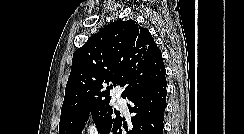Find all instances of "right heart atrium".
<instances>
[{
    "mask_svg": "<svg viewBox=\"0 0 244 134\" xmlns=\"http://www.w3.org/2000/svg\"><path fill=\"white\" fill-rule=\"evenodd\" d=\"M100 132L99 125L94 121L88 122L85 126L84 134H100Z\"/></svg>",
    "mask_w": 244,
    "mask_h": 134,
    "instance_id": "right-heart-atrium-1",
    "label": "right heart atrium"
}]
</instances>
